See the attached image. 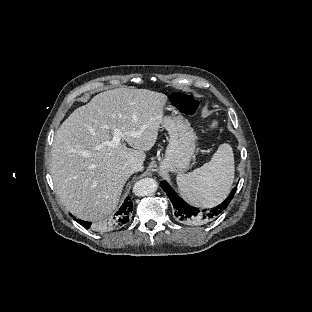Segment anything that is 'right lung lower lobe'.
Listing matches in <instances>:
<instances>
[{"label": "right lung lower lobe", "mask_w": 312, "mask_h": 312, "mask_svg": "<svg viewBox=\"0 0 312 312\" xmlns=\"http://www.w3.org/2000/svg\"><path fill=\"white\" fill-rule=\"evenodd\" d=\"M133 209V204L130 201V198L127 197L123 203V205L120 207L119 211L116 213L115 217L113 218V222H112V227H117V226H121L123 224H125L126 222L129 221V215L130 212ZM74 220H76V218L73 217ZM79 224H81L82 226H84L85 228H90L91 226V222H84L81 220H76Z\"/></svg>", "instance_id": "98d812e1"}]
</instances>
